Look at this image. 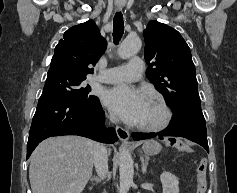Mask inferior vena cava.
I'll return each mask as SVG.
<instances>
[{"label":"inferior vena cava","mask_w":237,"mask_h":193,"mask_svg":"<svg viewBox=\"0 0 237 193\" xmlns=\"http://www.w3.org/2000/svg\"><path fill=\"white\" fill-rule=\"evenodd\" d=\"M110 120L112 122H115L116 121L115 116L110 115ZM94 166L100 178H105L106 173L108 172V153L106 148L99 143L96 144L94 154Z\"/></svg>","instance_id":"obj_1"}]
</instances>
